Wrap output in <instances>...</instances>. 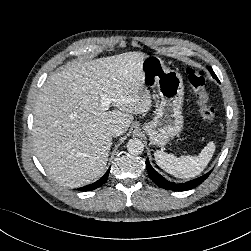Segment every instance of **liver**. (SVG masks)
Segmentation results:
<instances>
[{"label":"liver","instance_id":"1","mask_svg":"<svg viewBox=\"0 0 251 251\" xmlns=\"http://www.w3.org/2000/svg\"><path fill=\"white\" fill-rule=\"evenodd\" d=\"M142 52L69 62L50 76L34 107L33 144L46 172L60 185L78 188L100 178L112 146L110 129L123 133L133 114L152 104L143 83ZM112 98L103 111L101 96Z\"/></svg>","mask_w":251,"mask_h":251}]
</instances>
